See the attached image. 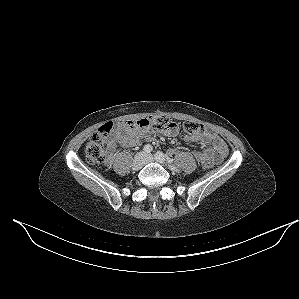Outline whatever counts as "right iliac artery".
Listing matches in <instances>:
<instances>
[{
	"mask_svg": "<svg viewBox=\"0 0 299 299\" xmlns=\"http://www.w3.org/2000/svg\"><path fill=\"white\" fill-rule=\"evenodd\" d=\"M143 150L145 153H150L153 150V148L151 145L148 144L144 146Z\"/></svg>",
	"mask_w": 299,
	"mask_h": 299,
	"instance_id": "obj_1",
	"label": "right iliac artery"
}]
</instances>
